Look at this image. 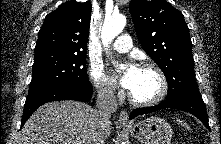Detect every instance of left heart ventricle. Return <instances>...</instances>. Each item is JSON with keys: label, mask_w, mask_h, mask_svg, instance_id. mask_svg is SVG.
<instances>
[{"label": "left heart ventricle", "mask_w": 221, "mask_h": 144, "mask_svg": "<svg viewBox=\"0 0 221 144\" xmlns=\"http://www.w3.org/2000/svg\"><path fill=\"white\" fill-rule=\"evenodd\" d=\"M159 90V79L152 70L139 69L135 86L131 90L134 97L146 100L154 97Z\"/></svg>", "instance_id": "left-heart-ventricle-1"}]
</instances>
